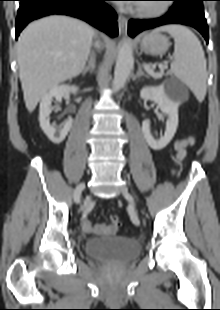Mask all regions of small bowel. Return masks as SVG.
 Masks as SVG:
<instances>
[{
    "label": "small bowel",
    "instance_id": "small-bowel-1",
    "mask_svg": "<svg viewBox=\"0 0 220 310\" xmlns=\"http://www.w3.org/2000/svg\"><path fill=\"white\" fill-rule=\"evenodd\" d=\"M194 143L193 137H187L181 140H178L174 143V150L177 162H180L186 155L187 148ZM82 229L85 233L88 234H99L109 236L115 233L116 229L107 224H99L93 225L92 222L87 218L84 217L81 221Z\"/></svg>",
    "mask_w": 220,
    "mask_h": 310
}]
</instances>
